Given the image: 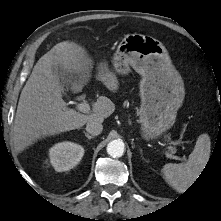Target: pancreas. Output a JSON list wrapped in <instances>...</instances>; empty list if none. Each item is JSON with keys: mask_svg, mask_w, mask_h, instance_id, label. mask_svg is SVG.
<instances>
[{"mask_svg": "<svg viewBox=\"0 0 221 221\" xmlns=\"http://www.w3.org/2000/svg\"><path fill=\"white\" fill-rule=\"evenodd\" d=\"M171 151L175 152V151H176V149H175V148H171Z\"/></svg>", "mask_w": 221, "mask_h": 221, "instance_id": "cf45deb5", "label": "pancreas"}]
</instances>
